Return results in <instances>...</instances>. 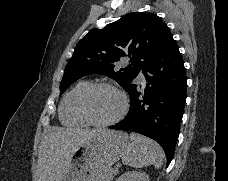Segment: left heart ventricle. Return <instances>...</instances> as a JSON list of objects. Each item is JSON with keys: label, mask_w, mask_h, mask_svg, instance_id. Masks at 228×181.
Returning a JSON list of instances; mask_svg holds the SVG:
<instances>
[{"label": "left heart ventricle", "mask_w": 228, "mask_h": 181, "mask_svg": "<svg viewBox=\"0 0 228 181\" xmlns=\"http://www.w3.org/2000/svg\"><path fill=\"white\" fill-rule=\"evenodd\" d=\"M85 108L94 120L109 119L120 110L121 98L113 89L99 87L87 99Z\"/></svg>", "instance_id": "obj_1"}]
</instances>
